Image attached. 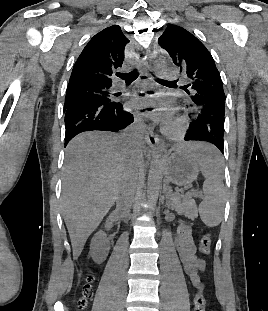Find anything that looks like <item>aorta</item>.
<instances>
[{
	"label": "aorta",
	"mask_w": 268,
	"mask_h": 311,
	"mask_svg": "<svg viewBox=\"0 0 268 311\" xmlns=\"http://www.w3.org/2000/svg\"><path fill=\"white\" fill-rule=\"evenodd\" d=\"M155 63L156 65L153 66V71L156 72L159 81H162L168 72L165 60L162 58H157ZM162 156V151L159 146L153 154L147 178V196L151 213L155 211L161 188L162 167L160 164V159Z\"/></svg>",
	"instance_id": "obj_1"
}]
</instances>
